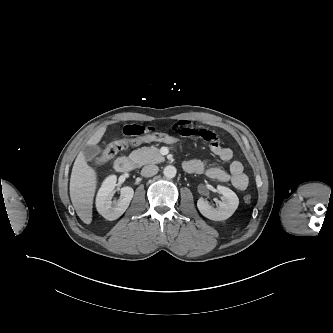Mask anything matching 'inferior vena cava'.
Masks as SVG:
<instances>
[{"mask_svg": "<svg viewBox=\"0 0 333 333\" xmlns=\"http://www.w3.org/2000/svg\"><path fill=\"white\" fill-rule=\"evenodd\" d=\"M159 171L158 166L152 164V165H147L142 168L141 174L145 177H151L157 174Z\"/></svg>", "mask_w": 333, "mask_h": 333, "instance_id": "obj_1", "label": "inferior vena cava"}]
</instances>
